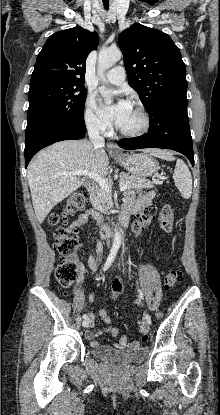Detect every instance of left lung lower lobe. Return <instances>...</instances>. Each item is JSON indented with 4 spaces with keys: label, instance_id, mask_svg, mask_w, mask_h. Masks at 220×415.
Instances as JSON below:
<instances>
[{
    "label": "left lung lower lobe",
    "instance_id": "obj_1",
    "mask_svg": "<svg viewBox=\"0 0 220 415\" xmlns=\"http://www.w3.org/2000/svg\"><path fill=\"white\" fill-rule=\"evenodd\" d=\"M147 134L118 142L124 149L164 148L184 154L194 166V153L187 115V96L179 95L163 100L149 112Z\"/></svg>",
    "mask_w": 220,
    "mask_h": 415
}]
</instances>
